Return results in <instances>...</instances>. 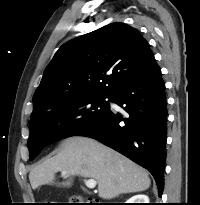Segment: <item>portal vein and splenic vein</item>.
<instances>
[{"instance_id": "18ae733b", "label": "portal vein and splenic vein", "mask_w": 200, "mask_h": 205, "mask_svg": "<svg viewBox=\"0 0 200 205\" xmlns=\"http://www.w3.org/2000/svg\"><path fill=\"white\" fill-rule=\"evenodd\" d=\"M66 172H62V174H65ZM85 185L87 186V188L89 189H93L96 186V181L94 179H88V180H84Z\"/></svg>"}]
</instances>
